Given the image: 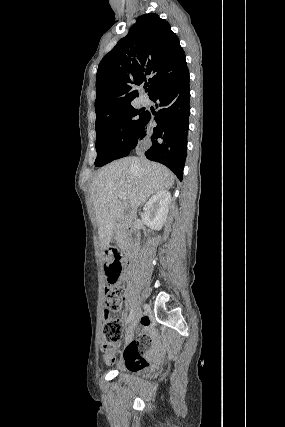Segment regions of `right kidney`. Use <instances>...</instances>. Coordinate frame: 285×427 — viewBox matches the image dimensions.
I'll return each instance as SVG.
<instances>
[{
    "instance_id": "right-kidney-1",
    "label": "right kidney",
    "mask_w": 285,
    "mask_h": 427,
    "mask_svg": "<svg viewBox=\"0 0 285 427\" xmlns=\"http://www.w3.org/2000/svg\"><path fill=\"white\" fill-rule=\"evenodd\" d=\"M171 201V195L167 190L159 191L145 204L142 220L147 227L153 230H161L163 227Z\"/></svg>"
}]
</instances>
